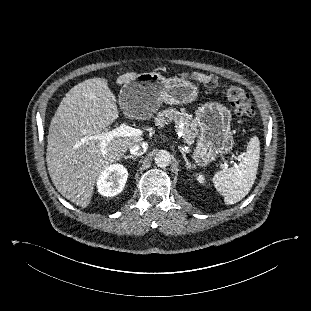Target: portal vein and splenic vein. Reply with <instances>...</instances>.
Returning a JSON list of instances; mask_svg holds the SVG:
<instances>
[{
	"instance_id": "portal-vein-and-splenic-vein-1",
	"label": "portal vein and splenic vein",
	"mask_w": 311,
	"mask_h": 311,
	"mask_svg": "<svg viewBox=\"0 0 311 311\" xmlns=\"http://www.w3.org/2000/svg\"><path fill=\"white\" fill-rule=\"evenodd\" d=\"M142 135V131L136 128H132L126 124H121L119 127L112 129L106 133L94 136V139H99L100 142V146L102 148H104L105 146L108 145V143L116 137H132V136H140ZM181 135H182V131H181ZM241 157H238V159H240ZM236 165V163H234ZM224 168H227L228 165L227 163L223 164Z\"/></svg>"
}]
</instances>
